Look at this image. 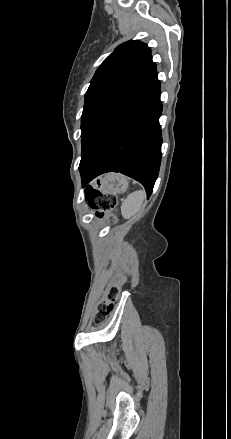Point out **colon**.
I'll return each instance as SVG.
<instances>
[{"mask_svg":"<svg viewBox=\"0 0 231 439\" xmlns=\"http://www.w3.org/2000/svg\"><path fill=\"white\" fill-rule=\"evenodd\" d=\"M88 205L95 209L97 217H102L103 214L111 212L117 205V198L112 194H104L95 190L89 192ZM120 296V288L117 285H111L108 288L106 301L100 303L98 312L95 317V322L103 321L112 310V303Z\"/></svg>","mask_w":231,"mask_h":439,"instance_id":"obj_1","label":"colon"}]
</instances>
